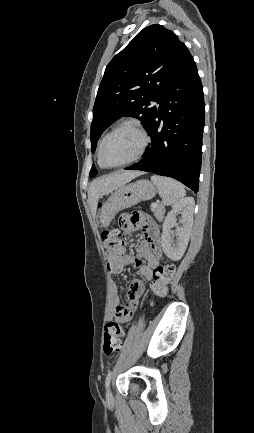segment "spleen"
Wrapping results in <instances>:
<instances>
[{
	"label": "spleen",
	"mask_w": 254,
	"mask_h": 433,
	"mask_svg": "<svg viewBox=\"0 0 254 433\" xmlns=\"http://www.w3.org/2000/svg\"><path fill=\"white\" fill-rule=\"evenodd\" d=\"M151 180L157 186L164 205L175 204L186 195L183 185L172 178L153 175Z\"/></svg>",
	"instance_id": "spleen-1"
}]
</instances>
